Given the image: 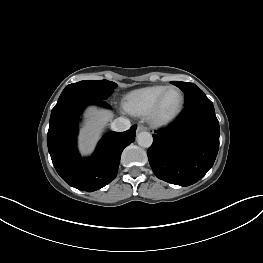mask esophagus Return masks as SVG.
Masks as SVG:
<instances>
[{"mask_svg": "<svg viewBox=\"0 0 263 263\" xmlns=\"http://www.w3.org/2000/svg\"><path fill=\"white\" fill-rule=\"evenodd\" d=\"M147 128L143 125H138L137 132L145 131Z\"/></svg>", "mask_w": 263, "mask_h": 263, "instance_id": "esophagus-1", "label": "esophagus"}]
</instances>
